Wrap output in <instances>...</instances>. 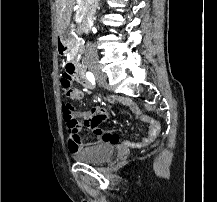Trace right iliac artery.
<instances>
[{
	"mask_svg": "<svg viewBox=\"0 0 217 202\" xmlns=\"http://www.w3.org/2000/svg\"><path fill=\"white\" fill-rule=\"evenodd\" d=\"M86 77L92 84H95V77L91 72H87Z\"/></svg>",
	"mask_w": 217,
	"mask_h": 202,
	"instance_id": "1",
	"label": "right iliac artery"
}]
</instances>
